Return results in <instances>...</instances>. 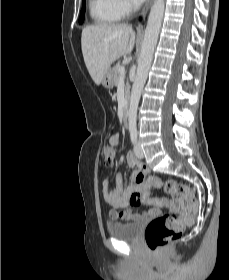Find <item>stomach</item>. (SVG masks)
I'll use <instances>...</instances> for the list:
<instances>
[{"mask_svg": "<svg viewBox=\"0 0 229 280\" xmlns=\"http://www.w3.org/2000/svg\"><path fill=\"white\" fill-rule=\"evenodd\" d=\"M102 85L103 87L107 88V89H111L114 86V71L113 69H109L103 79H102Z\"/></svg>", "mask_w": 229, "mask_h": 280, "instance_id": "0dacf381", "label": "stomach"}]
</instances>
